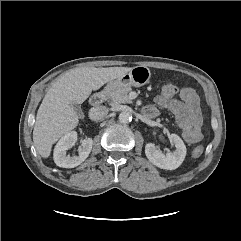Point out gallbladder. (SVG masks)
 I'll return each mask as SVG.
<instances>
[{"mask_svg":"<svg viewBox=\"0 0 241 241\" xmlns=\"http://www.w3.org/2000/svg\"><path fill=\"white\" fill-rule=\"evenodd\" d=\"M72 107H73L74 111L76 112V114H77L78 116H81V115H82V110H81L80 105H78V104H76V103H73V104H72Z\"/></svg>","mask_w":241,"mask_h":241,"instance_id":"bac80fb5","label":"gallbladder"}]
</instances>
